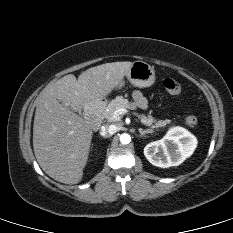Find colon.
<instances>
[{"label": "colon", "mask_w": 233, "mask_h": 233, "mask_svg": "<svg viewBox=\"0 0 233 233\" xmlns=\"http://www.w3.org/2000/svg\"><path fill=\"white\" fill-rule=\"evenodd\" d=\"M162 85L164 89L172 95H177L181 92V86L179 82L173 77H164L162 79ZM186 123L190 127H196L198 125V118L195 115H189L186 117Z\"/></svg>", "instance_id": "obj_1"}]
</instances>
